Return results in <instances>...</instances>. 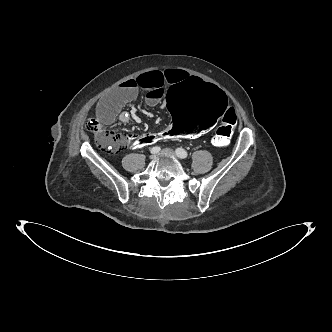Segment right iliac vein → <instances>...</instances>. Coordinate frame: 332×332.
<instances>
[{
  "label": "right iliac vein",
  "mask_w": 332,
  "mask_h": 332,
  "mask_svg": "<svg viewBox=\"0 0 332 332\" xmlns=\"http://www.w3.org/2000/svg\"><path fill=\"white\" fill-rule=\"evenodd\" d=\"M156 157V155L155 154H153V155H151V159H154Z\"/></svg>",
  "instance_id": "1"
}]
</instances>
